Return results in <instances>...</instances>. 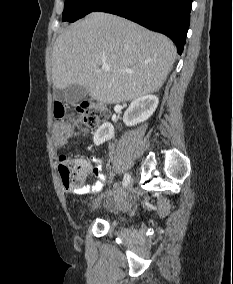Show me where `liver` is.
<instances>
[{
	"instance_id": "1",
	"label": "liver",
	"mask_w": 233,
	"mask_h": 284,
	"mask_svg": "<svg viewBox=\"0 0 233 284\" xmlns=\"http://www.w3.org/2000/svg\"><path fill=\"white\" fill-rule=\"evenodd\" d=\"M175 58L176 47L168 37L121 17L93 12L56 39L52 81L56 89L78 84L93 100L118 104L159 90ZM102 64L110 71H103Z\"/></svg>"
}]
</instances>
